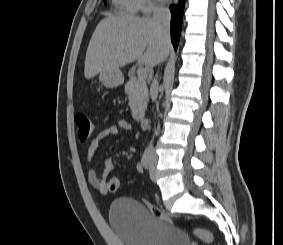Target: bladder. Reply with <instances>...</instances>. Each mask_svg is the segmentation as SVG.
I'll return each instance as SVG.
<instances>
[{
  "mask_svg": "<svg viewBox=\"0 0 283 245\" xmlns=\"http://www.w3.org/2000/svg\"><path fill=\"white\" fill-rule=\"evenodd\" d=\"M109 222L125 245H190L184 231L155 217L145 204L131 198L111 203Z\"/></svg>",
  "mask_w": 283,
  "mask_h": 245,
  "instance_id": "bladder-1",
  "label": "bladder"
}]
</instances>
